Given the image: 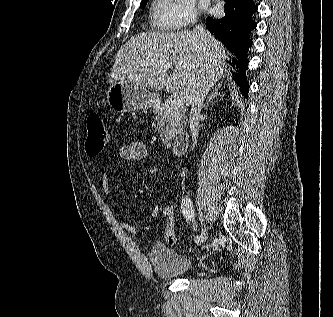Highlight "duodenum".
<instances>
[{"label":"duodenum","instance_id":"1","mask_svg":"<svg viewBox=\"0 0 333 317\" xmlns=\"http://www.w3.org/2000/svg\"><path fill=\"white\" fill-rule=\"evenodd\" d=\"M189 146V136L187 133L179 134L172 143V152L176 156L185 154Z\"/></svg>","mask_w":333,"mask_h":317}]
</instances>
